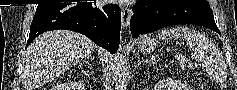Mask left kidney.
Here are the masks:
<instances>
[{
    "mask_svg": "<svg viewBox=\"0 0 237 90\" xmlns=\"http://www.w3.org/2000/svg\"><path fill=\"white\" fill-rule=\"evenodd\" d=\"M155 90H188L187 84H181L178 80L166 78V80H159L155 86Z\"/></svg>",
    "mask_w": 237,
    "mask_h": 90,
    "instance_id": "1",
    "label": "left kidney"
}]
</instances>
